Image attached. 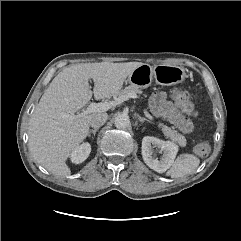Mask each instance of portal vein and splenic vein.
<instances>
[{"label":"portal vein and splenic vein","instance_id":"1","mask_svg":"<svg viewBox=\"0 0 241 241\" xmlns=\"http://www.w3.org/2000/svg\"><path fill=\"white\" fill-rule=\"evenodd\" d=\"M129 98H138V96L134 93H130L127 95H122L121 97H119L116 101H105V102H101V103H90L89 106L87 107L86 110H83L81 113H78L77 115H71L68 113H64L63 117L65 118H74L75 116L77 117H81L90 113H94V112H105L107 110H109L110 108H112L113 106H116L126 100H128ZM145 113L148 114L147 109L145 110Z\"/></svg>","mask_w":241,"mask_h":241}]
</instances>
